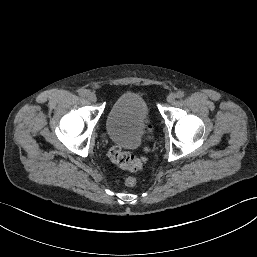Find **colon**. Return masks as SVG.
Segmentation results:
<instances>
[{
    "instance_id": "obj_1",
    "label": "colon",
    "mask_w": 257,
    "mask_h": 257,
    "mask_svg": "<svg viewBox=\"0 0 257 257\" xmlns=\"http://www.w3.org/2000/svg\"><path fill=\"white\" fill-rule=\"evenodd\" d=\"M109 158L119 167L129 170L138 171L142 168L143 162L135 155L123 151L119 146H112L108 151ZM124 184L127 187L136 185V179L132 176H127L124 179Z\"/></svg>"
}]
</instances>
